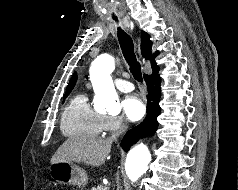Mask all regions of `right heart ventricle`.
<instances>
[{
	"mask_svg": "<svg viewBox=\"0 0 238 190\" xmlns=\"http://www.w3.org/2000/svg\"><path fill=\"white\" fill-rule=\"evenodd\" d=\"M105 116L95 111L85 93L70 100L61 118V130L70 137H97L104 131Z\"/></svg>",
	"mask_w": 238,
	"mask_h": 190,
	"instance_id": "1",
	"label": "right heart ventricle"
}]
</instances>
